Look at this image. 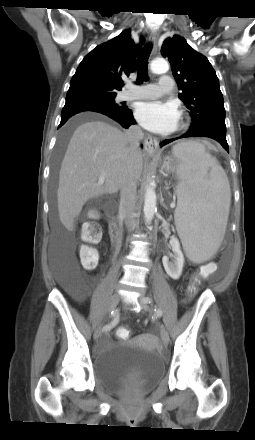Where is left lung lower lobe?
<instances>
[{"label": "left lung lower lobe", "mask_w": 255, "mask_h": 440, "mask_svg": "<svg viewBox=\"0 0 255 440\" xmlns=\"http://www.w3.org/2000/svg\"><path fill=\"white\" fill-rule=\"evenodd\" d=\"M187 137H208L218 141L223 148L229 153V147L226 140V129L218 126H204L198 129L190 128L187 133L182 136L174 139L164 140L160 143V146L166 145L174 140L179 138H187Z\"/></svg>", "instance_id": "0a47b994"}]
</instances>
